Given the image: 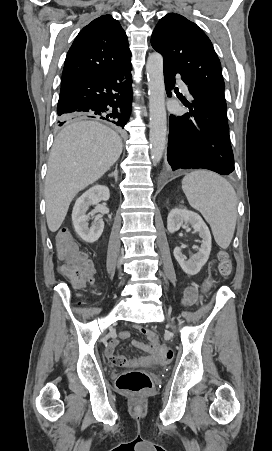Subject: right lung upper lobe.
<instances>
[{
  "mask_svg": "<svg viewBox=\"0 0 272 451\" xmlns=\"http://www.w3.org/2000/svg\"><path fill=\"white\" fill-rule=\"evenodd\" d=\"M119 21L103 15L85 26L66 56L61 86L106 73L131 58Z\"/></svg>",
  "mask_w": 272,
  "mask_h": 451,
  "instance_id": "obj_1",
  "label": "right lung upper lobe"
}]
</instances>
